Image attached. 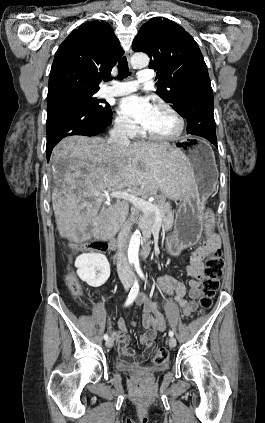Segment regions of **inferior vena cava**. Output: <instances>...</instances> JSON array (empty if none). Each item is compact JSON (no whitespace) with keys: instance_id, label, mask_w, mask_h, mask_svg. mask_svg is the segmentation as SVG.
<instances>
[{"instance_id":"obj_1","label":"inferior vena cava","mask_w":265,"mask_h":423,"mask_svg":"<svg viewBox=\"0 0 265 423\" xmlns=\"http://www.w3.org/2000/svg\"><path fill=\"white\" fill-rule=\"evenodd\" d=\"M108 142L128 146L130 144L127 136V125L118 122L109 132ZM131 226L128 222L122 225L117 237V272L120 280H132V271L125 255L126 242L129 237Z\"/></svg>"}]
</instances>
